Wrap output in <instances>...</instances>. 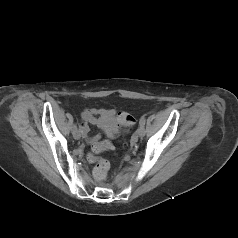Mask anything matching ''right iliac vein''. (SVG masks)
<instances>
[{"mask_svg":"<svg viewBox=\"0 0 238 238\" xmlns=\"http://www.w3.org/2000/svg\"><path fill=\"white\" fill-rule=\"evenodd\" d=\"M73 137H74L76 140L80 139V138H81V132H80V130H75V131H73Z\"/></svg>","mask_w":238,"mask_h":238,"instance_id":"1","label":"right iliac vein"}]
</instances>
